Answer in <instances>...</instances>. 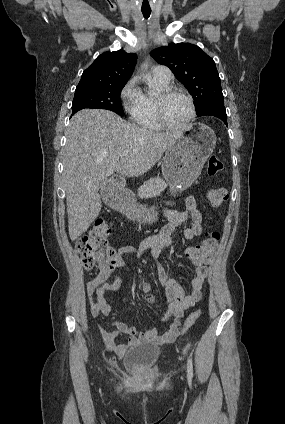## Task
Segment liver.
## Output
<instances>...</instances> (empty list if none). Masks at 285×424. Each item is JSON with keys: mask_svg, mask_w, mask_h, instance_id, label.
Instances as JSON below:
<instances>
[{"mask_svg": "<svg viewBox=\"0 0 285 424\" xmlns=\"http://www.w3.org/2000/svg\"><path fill=\"white\" fill-rule=\"evenodd\" d=\"M180 132H154L101 109H84L71 119L63 150L69 236L85 233L101 211L99 184L114 172L146 174ZM128 151L127 156L122 153Z\"/></svg>", "mask_w": 285, "mask_h": 424, "instance_id": "6515ba94", "label": "liver"}]
</instances>
